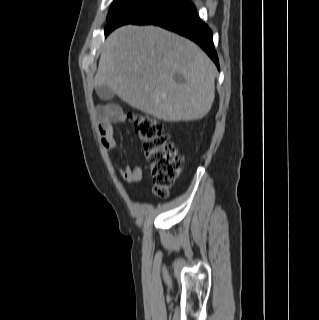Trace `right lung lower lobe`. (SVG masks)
Returning a JSON list of instances; mask_svg holds the SVG:
<instances>
[{"label": "right lung lower lobe", "instance_id": "1", "mask_svg": "<svg viewBox=\"0 0 319 320\" xmlns=\"http://www.w3.org/2000/svg\"><path fill=\"white\" fill-rule=\"evenodd\" d=\"M133 24L159 25L193 40L209 55L219 68L212 31L198 17L196 8L191 1L178 0V2L165 9L139 18ZM111 31L105 32V36Z\"/></svg>", "mask_w": 319, "mask_h": 320}]
</instances>
